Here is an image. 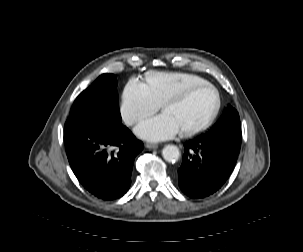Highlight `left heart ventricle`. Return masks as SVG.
I'll return each mask as SVG.
<instances>
[{"instance_id":"b2bd125f","label":"left heart ventricle","mask_w":303,"mask_h":252,"mask_svg":"<svg viewBox=\"0 0 303 252\" xmlns=\"http://www.w3.org/2000/svg\"><path fill=\"white\" fill-rule=\"evenodd\" d=\"M215 106V95L209 88H202L184 102L170 106L166 113L171 116L179 130L196 128L210 117Z\"/></svg>"}]
</instances>
